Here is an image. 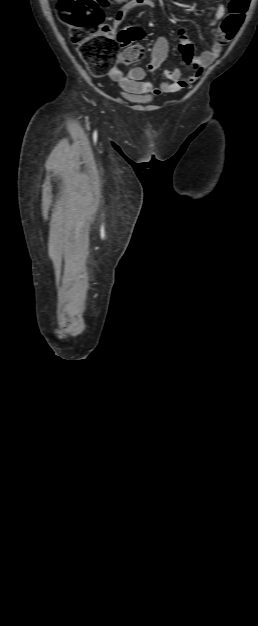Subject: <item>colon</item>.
Returning a JSON list of instances; mask_svg holds the SVG:
<instances>
[{
	"instance_id": "colon-1",
	"label": "colon",
	"mask_w": 258,
	"mask_h": 626,
	"mask_svg": "<svg viewBox=\"0 0 258 626\" xmlns=\"http://www.w3.org/2000/svg\"><path fill=\"white\" fill-rule=\"evenodd\" d=\"M122 2L124 0H57V15L68 26L71 41L77 45L80 57L94 74L106 72L119 55L120 46L126 48L122 55L126 62L138 61L144 54V48L134 43L143 35L141 28L131 27L120 31L118 43L109 41L103 33V8ZM249 4L250 0H229L228 15L216 36L218 43L225 44L236 35Z\"/></svg>"
}]
</instances>
